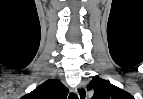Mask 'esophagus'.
<instances>
[{
  "label": "esophagus",
  "mask_w": 143,
  "mask_h": 99,
  "mask_svg": "<svg viewBox=\"0 0 143 99\" xmlns=\"http://www.w3.org/2000/svg\"><path fill=\"white\" fill-rule=\"evenodd\" d=\"M77 95L79 99H86L87 98V91L84 86L80 85L77 88Z\"/></svg>",
  "instance_id": "1"
}]
</instances>
